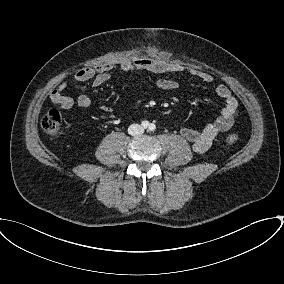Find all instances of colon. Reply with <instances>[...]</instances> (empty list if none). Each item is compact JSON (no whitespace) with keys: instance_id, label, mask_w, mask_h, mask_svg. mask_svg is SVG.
I'll use <instances>...</instances> for the list:
<instances>
[{"instance_id":"colon-1","label":"colon","mask_w":284,"mask_h":284,"mask_svg":"<svg viewBox=\"0 0 284 284\" xmlns=\"http://www.w3.org/2000/svg\"><path fill=\"white\" fill-rule=\"evenodd\" d=\"M42 129L49 136H57L61 131L62 117L57 109H50L41 120ZM238 138L235 134L227 136L226 141L229 145H234Z\"/></svg>"}]
</instances>
